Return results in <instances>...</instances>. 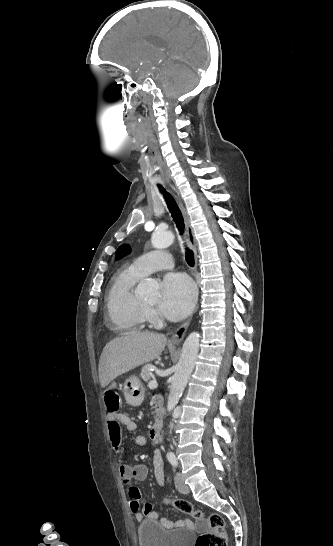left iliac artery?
<instances>
[{"label":"left iliac artery","instance_id":"1","mask_svg":"<svg viewBox=\"0 0 333 546\" xmlns=\"http://www.w3.org/2000/svg\"><path fill=\"white\" fill-rule=\"evenodd\" d=\"M167 458L174 467L178 465L177 459L173 453L168 454Z\"/></svg>","mask_w":333,"mask_h":546}]
</instances>
